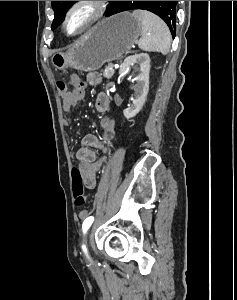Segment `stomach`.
I'll use <instances>...</instances> for the list:
<instances>
[{"mask_svg": "<svg viewBox=\"0 0 237 300\" xmlns=\"http://www.w3.org/2000/svg\"><path fill=\"white\" fill-rule=\"evenodd\" d=\"M140 35V21L127 11L119 13L96 23L66 53L56 51L51 63L59 71L68 67L86 73L97 71L104 63L115 61L129 51Z\"/></svg>", "mask_w": 237, "mask_h": 300, "instance_id": "1", "label": "stomach"}]
</instances>
